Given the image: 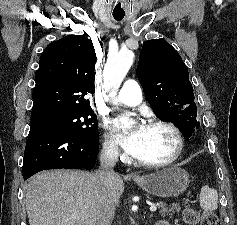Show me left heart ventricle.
<instances>
[{"label":"left heart ventricle","instance_id":"b2bd125f","mask_svg":"<svg viewBox=\"0 0 237 225\" xmlns=\"http://www.w3.org/2000/svg\"><path fill=\"white\" fill-rule=\"evenodd\" d=\"M175 149L173 134L162 127H144L141 148L137 158L145 161H161Z\"/></svg>","mask_w":237,"mask_h":225}]
</instances>
